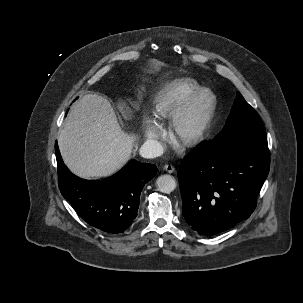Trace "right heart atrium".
<instances>
[{"mask_svg": "<svg viewBox=\"0 0 303 303\" xmlns=\"http://www.w3.org/2000/svg\"><path fill=\"white\" fill-rule=\"evenodd\" d=\"M144 133L149 141L157 142L160 141L163 135L161 127L154 121L144 118L143 120Z\"/></svg>", "mask_w": 303, "mask_h": 303, "instance_id": "1", "label": "right heart atrium"}]
</instances>
